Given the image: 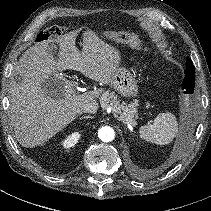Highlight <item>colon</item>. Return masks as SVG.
<instances>
[{
	"label": "colon",
	"instance_id": "1",
	"mask_svg": "<svg viewBox=\"0 0 211 211\" xmlns=\"http://www.w3.org/2000/svg\"><path fill=\"white\" fill-rule=\"evenodd\" d=\"M66 28L63 26H53L38 33L36 42L39 44L45 43L54 37H59L64 34Z\"/></svg>",
	"mask_w": 211,
	"mask_h": 211
}]
</instances>
